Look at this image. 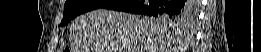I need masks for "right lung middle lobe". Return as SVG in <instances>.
I'll list each match as a JSON object with an SVG mask.
<instances>
[{"label":"right lung middle lobe","mask_w":261,"mask_h":52,"mask_svg":"<svg viewBox=\"0 0 261 52\" xmlns=\"http://www.w3.org/2000/svg\"><path fill=\"white\" fill-rule=\"evenodd\" d=\"M112 0H67L64 5V16L61 25L67 24L71 19L75 18L77 15L97 8H102ZM190 3V2H189ZM192 4V11L181 16H159L163 21L169 22L171 24L178 22H191L194 19V4Z\"/></svg>","instance_id":"right-lung-middle-lobe-1"}]
</instances>
